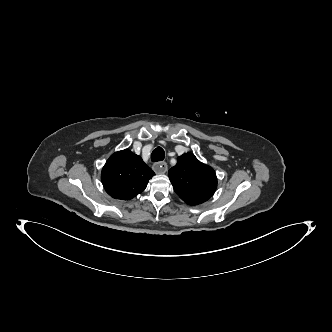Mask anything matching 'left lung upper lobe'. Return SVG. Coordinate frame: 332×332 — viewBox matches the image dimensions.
I'll return each mask as SVG.
<instances>
[{
    "label": "left lung upper lobe",
    "mask_w": 332,
    "mask_h": 332,
    "mask_svg": "<svg viewBox=\"0 0 332 332\" xmlns=\"http://www.w3.org/2000/svg\"><path fill=\"white\" fill-rule=\"evenodd\" d=\"M168 176L177 195L189 205H198L211 198L217 187L212 167L201 163L193 154L178 157Z\"/></svg>",
    "instance_id": "5c2ea615"
}]
</instances>
